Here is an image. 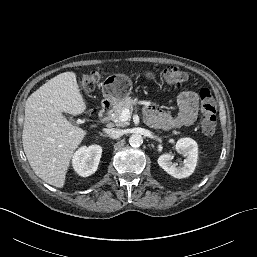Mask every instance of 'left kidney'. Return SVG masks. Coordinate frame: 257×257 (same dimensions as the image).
I'll list each match as a JSON object with an SVG mask.
<instances>
[{
    "label": "left kidney",
    "mask_w": 257,
    "mask_h": 257,
    "mask_svg": "<svg viewBox=\"0 0 257 257\" xmlns=\"http://www.w3.org/2000/svg\"><path fill=\"white\" fill-rule=\"evenodd\" d=\"M176 151L185 157L181 166L172 162L174 156L171 153L161 155L158 158V164L174 178H186L195 170L198 159V145L191 138H182L176 143Z\"/></svg>",
    "instance_id": "left-kidney-1"
}]
</instances>
